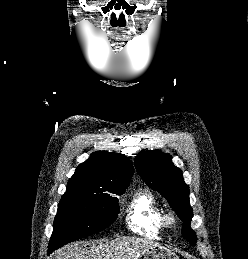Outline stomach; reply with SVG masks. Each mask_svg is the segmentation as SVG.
<instances>
[{"instance_id":"obj_1","label":"stomach","mask_w":248,"mask_h":259,"mask_svg":"<svg viewBox=\"0 0 248 259\" xmlns=\"http://www.w3.org/2000/svg\"><path fill=\"white\" fill-rule=\"evenodd\" d=\"M137 259H179L171 250L162 246H153L144 251Z\"/></svg>"}]
</instances>
